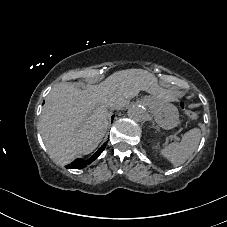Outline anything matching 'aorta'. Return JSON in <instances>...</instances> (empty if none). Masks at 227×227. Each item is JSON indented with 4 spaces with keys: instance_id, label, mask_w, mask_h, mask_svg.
<instances>
[{
    "instance_id": "aorta-1",
    "label": "aorta",
    "mask_w": 227,
    "mask_h": 227,
    "mask_svg": "<svg viewBox=\"0 0 227 227\" xmlns=\"http://www.w3.org/2000/svg\"><path fill=\"white\" fill-rule=\"evenodd\" d=\"M128 117L136 122H141L147 119V112L143 106L133 105L128 109Z\"/></svg>"
}]
</instances>
